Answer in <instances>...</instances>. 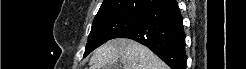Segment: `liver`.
<instances>
[{
  "instance_id": "liver-1",
  "label": "liver",
  "mask_w": 246,
  "mask_h": 69,
  "mask_svg": "<svg viewBox=\"0 0 246 69\" xmlns=\"http://www.w3.org/2000/svg\"><path fill=\"white\" fill-rule=\"evenodd\" d=\"M118 61L122 69H167L147 47L123 38L112 39L97 48L90 59V69H112Z\"/></svg>"
}]
</instances>
